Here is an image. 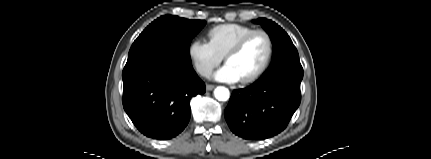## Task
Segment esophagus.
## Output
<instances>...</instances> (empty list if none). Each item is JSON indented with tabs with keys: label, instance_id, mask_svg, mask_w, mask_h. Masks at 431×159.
I'll use <instances>...</instances> for the list:
<instances>
[{
	"label": "esophagus",
	"instance_id": "34e87169",
	"mask_svg": "<svg viewBox=\"0 0 431 159\" xmlns=\"http://www.w3.org/2000/svg\"><path fill=\"white\" fill-rule=\"evenodd\" d=\"M215 88V86L214 85H211V84H207L206 85V90L207 91H211V90H213Z\"/></svg>",
	"mask_w": 431,
	"mask_h": 159
}]
</instances>
